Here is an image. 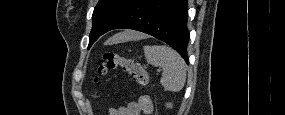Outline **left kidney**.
I'll return each instance as SVG.
<instances>
[{
    "mask_svg": "<svg viewBox=\"0 0 285 115\" xmlns=\"http://www.w3.org/2000/svg\"><path fill=\"white\" fill-rule=\"evenodd\" d=\"M166 107H167V108H172V104H171V103H167V104H166Z\"/></svg>",
    "mask_w": 285,
    "mask_h": 115,
    "instance_id": "5707ae66",
    "label": "left kidney"
}]
</instances>
